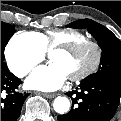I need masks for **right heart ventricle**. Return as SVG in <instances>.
<instances>
[{
	"label": "right heart ventricle",
	"instance_id": "1",
	"mask_svg": "<svg viewBox=\"0 0 121 121\" xmlns=\"http://www.w3.org/2000/svg\"><path fill=\"white\" fill-rule=\"evenodd\" d=\"M26 34L34 37L38 41L43 52L58 45H70L86 40L83 34L66 30L36 31L27 32Z\"/></svg>",
	"mask_w": 121,
	"mask_h": 121
}]
</instances>
